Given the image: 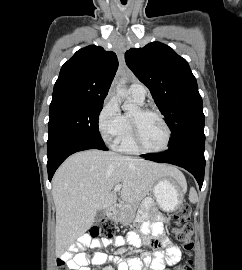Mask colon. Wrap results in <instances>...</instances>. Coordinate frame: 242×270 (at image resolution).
Listing matches in <instances>:
<instances>
[{
	"label": "colon",
	"mask_w": 242,
	"mask_h": 270,
	"mask_svg": "<svg viewBox=\"0 0 242 270\" xmlns=\"http://www.w3.org/2000/svg\"><path fill=\"white\" fill-rule=\"evenodd\" d=\"M191 213L190 206L182 205L173 214V227L171 233L177 241L190 252L193 249V229L187 222ZM116 225L108 218L101 220L96 226L92 227L87 233L91 239L108 238L111 239L116 233ZM58 270H67L61 261H58ZM172 270H193L192 262L175 265Z\"/></svg>",
	"instance_id": "colon-1"
}]
</instances>
